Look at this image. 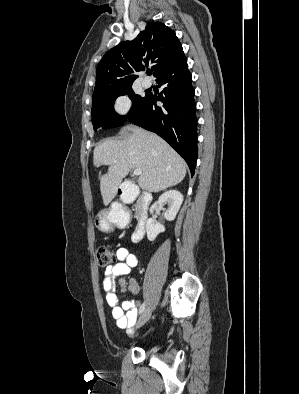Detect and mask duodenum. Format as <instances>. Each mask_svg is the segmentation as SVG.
Listing matches in <instances>:
<instances>
[{
    "mask_svg": "<svg viewBox=\"0 0 299 394\" xmlns=\"http://www.w3.org/2000/svg\"><path fill=\"white\" fill-rule=\"evenodd\" d=\"M118 194L122 196L126 203H130L137 199V224L133 233V240L140 241L146 231V223L148 219V207L152 201V195L149 192H143L140 196H136L132 191L130 184L119 185Z\"/></svg>",
    "mask_w": 299,
    "mask_h": 394,
    "instance_id": "1",
    "label": "duodenum"
}]
</instances>
